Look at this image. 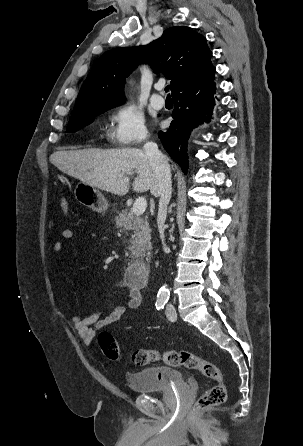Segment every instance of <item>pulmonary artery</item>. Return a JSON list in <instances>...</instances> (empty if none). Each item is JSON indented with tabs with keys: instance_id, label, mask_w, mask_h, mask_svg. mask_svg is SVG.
Segmentation results:
<instances>
[{
	"instance_id": "pulmonary-artery-1",
	"label": "pulmonary artery",
	"mask_w": 303,
	"mask_h": 446,
	"mask_svg": "<svg viewBox=\"0 0 303 446\" xmlns=\"http://www.w3.org/2000/svg\"><path fill=\"white\" fill-rule=\"evenodd\" d=\"M156 89H157L158 91H161V90H162V86H161V85H158V86L156 87ZM150 103H151V105H152L154 108H156V109H160V108H162V107L164 106V104H165V100H164V98H163L162 96H160L158 93H154V94L151 96V98H150Z\"/></svg>"
}]
</instances>
